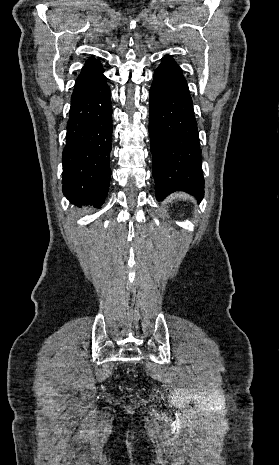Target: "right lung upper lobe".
Returning <instances> with one entry per match:
<instances>
[{
  "label": "right lung upper lobe",
  "instance_id": "cb5924a9",
  "mask_svg": "<svg viewBox=\"0 0 279 465\" xmlns=\"http://www.w3.org/2000/svg\"><path fill=\"white\" fill-rule=\"evenodd\" d=\"M102 64L95 58H89L78 76L71 99L104 77Z\"/></svg>",
  "mask_w": 279,
  "mask_h": 465
}]
</instances>
